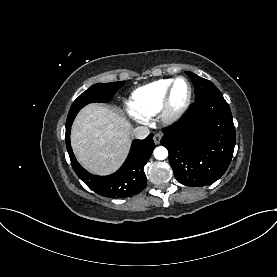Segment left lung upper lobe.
Returning a JSON list of instances; mask_svg holds the SVG:
<instances>
[{
  "label": "left lung upper lobe",
  "instance_id": "obj_1",
  "mask_svg": "<svg viewBox=\"0 0 277 277\" xmlns=\"http://www.w3.org/2000/svg\"><path fill=\"white\" fill-rule=\"evenodd\" d=\"M191 79L195 87V101L214 94H221L219 89L209 80L199 77L192 72H185Z\"/></svg>",
  "mask_w": 277,
  "mask_h": 277
}]
</instances>
